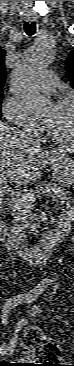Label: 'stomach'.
<instances>
[{
	"mask_svg": "<svg viewBox=\"0 0 74 366\" xmlns=\"http://www.w3.org/2000/svg\"><path fill=\"white\" fill-rule=\"evenodd\" d=\"M53 177L61 184H72L74 182V159L63 155L55 160L53 166Z\"/></svg>",
	"mask_w": 74,
	"mask_h": 366,
	"instance_id": "obj_1",
	"label": "stomach"
}]
</instances>
